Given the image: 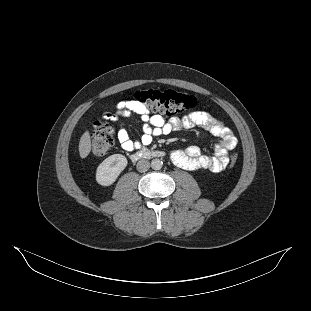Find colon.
<instances>
[{
    "label": "colon",
    "instance_id": "colon-1",
    "mask_svg": "<svg viewBox=\"0 0 311 311\" xmlns=\"http://www.w3.org/2000/svg\"><path fill=\"white\" fill-rule=\"evenodd\" d=\"M136 101L145 105L149 110L164 114L176 115L183 113L196 105V98L192 95L180 93L174 90H142L135 93ZM94 137L92 142L93 155L100 157L105 155L113 144V130L106 123L94 122ZM236 153L230 156L229 166L237 163Z\"/></svg>",
    "mask_w": 311,
    "mask_h": 311
}]
</instances>
